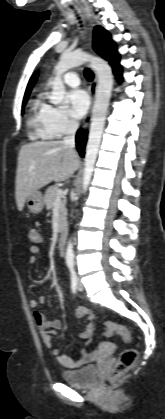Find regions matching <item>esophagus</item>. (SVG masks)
<instances>
[{
    "mask_svg": "<svg viewBox=\"0 0 165 419\" xmlns=\"http://www.w3.org/2000/svg\"><path fill=\"white\" fill-rule=\"evenodd\" d=\"M83 8V10H84V12H85V15H86V17H87V19L89 20V22H90V33L92 32V26H93V24L91 23V17H90V14H89V12L84 8V7H82ZM92 39H91V37H90V41H91ZM97 82H98V79H97V75H96V73L94 72V79H93V81H92V83H91V85H90V97H91V105H90V109H89V112H88V114H87V116L85 117V119H84V121H83V123H82V128L83 129H86L88 126H89V123H90V120H91V111H92V106H93V102H94V97H95V93H96V89H97Z\"/></svg>",
    "mask_w": 165,
    "mask_h": 419,
    "instance_id": "34e87169",
    "label": "esophagus"
}]
</instances>
